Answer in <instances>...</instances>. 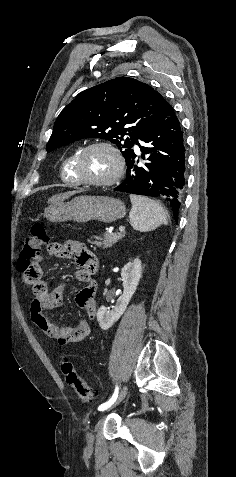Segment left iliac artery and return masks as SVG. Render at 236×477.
<instances>
[{
  "instance_id": "left-iliac-artery-1",
  "label": "left iliac artery",
  "mask_w": 236,
  "mask_h": 477,
  "mask_svg": "<svg viewBox=\"0 0 236 477\" xmlns=\"http://www.w3.org/2000/svg\"><path fill=\"white\" fill-rule=\"evenodd\" d=\"M118 392H119V388H118V386H116L115 391H114L112 397H111L107 402L101 404V405L98 407V410H99V411L102 410V409L104 410V408L108 407L111 403L115 402L116 399H117V397H118Z\"/></svg>"
}]
</instances>
